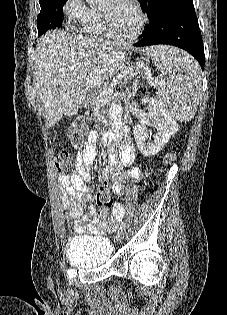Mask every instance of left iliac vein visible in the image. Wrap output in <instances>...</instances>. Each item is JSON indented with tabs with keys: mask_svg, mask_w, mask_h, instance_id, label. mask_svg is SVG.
I'll return each mask as SVG.
<instances>
[{
	"mask_svg": "<svg viewBox=\"0 0 227 315\" xmlns=\"http://www.w3.org/2000/svg\"><path fill=\"white\" fill-rule=\"evenodd\" d=\"M123 235L124 234L122 232L118 233L117 241H120L123 238Z\"/></svg>",
	"mask_w": 227,
	"mask_h": 315,
	"instance_id": "4c4485c4",
	"label": "left iliac vein"
}]
</instances>
